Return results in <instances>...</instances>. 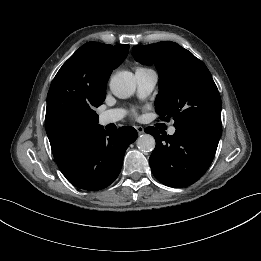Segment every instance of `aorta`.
Here are the masks:
<instances>
[{
	"mask_svg": "<svg viewBox=\"0 0 261 261\" xmlns=\"http://www.w3.org/2000/svg\"><path fill=\"white\" fill-rule=\"evenodd\" d=\"M110 90L118 98L126 99L132 96L136 89V81L131 72L116 73L110 80ZM156 145L155 139L150 134H142L137 139V147L142 152H151Z\"/></svg>",
	"mask_w": 261,
	"mask_h": 261,
	"instance_id": "aorta-1",
	"label": "aorta"
}]
</instances>
